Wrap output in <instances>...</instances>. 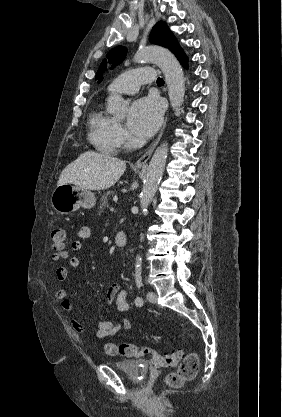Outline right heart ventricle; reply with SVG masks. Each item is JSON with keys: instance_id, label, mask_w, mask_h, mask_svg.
I'll return each instance as SVG.
<instances>
[{"instance_id": "1", "label": "right heart ventricle", "mask_w": 282, "mask_h": 417, "mask_svg": "<svg viewBox=\"0 0 282 417\" xmlns=\"http://www.w3.org/2000/svg\"><path fill=\"white\" fill-rule=\"evenodd\" d=\"M89 124V139L97 148L110 152L118 148L120 145L118 124L102 107L94 111Z\"/></svg>"}]
</instances>
